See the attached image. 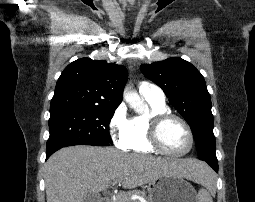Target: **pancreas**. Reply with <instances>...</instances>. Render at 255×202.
Returning <instances> with one entry per match:
<instances>
[{
  "instance_id": "obj_1",
  "label": "pancreas",
  "mask_w": 255,
  "mask_h": 202,
  "mask_svg": "<svg viewBox=\"0 0 255 202\" xmlns=\"http://www.w3.org/2000/svg\"><path fill=\"white\" fill-rule=\"evenodd\" d=\"M140 195L146 198L145 193L140 190H133L117 195L111 202H133L131 199L132 195ZM149 202V201H147Z\"/></svg>"
}]
</instances>
